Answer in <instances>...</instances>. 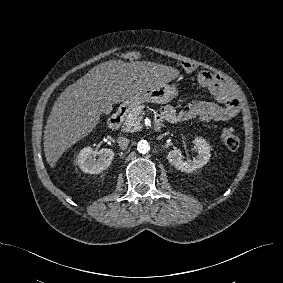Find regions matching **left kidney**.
Masks as SVG:
<instances>
[{
	"label": "left kidney",
	"mask_w": 283,
	"mask_h": 283,
	"mask_svg": "<svg viewBox=\"0 0 283 283\" xmlns=\"http://www.w3.org/2000/svg\"><path fill=\"white\" fill-rule=\"evenodd\" d=\"M194 143L198 152L193 160L187 159L184 161L181 156V151L175 149L168 153L167 159L170 164L175 166L178 170L188 173L204 166L211 157V147L202 137H196Z\"/></svg>",
	"instance_id": "obj_1"
}]
</instances>
